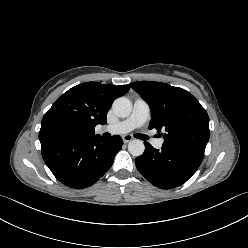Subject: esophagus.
Masks as SVG:
<instances>
[{"instance_id": "obj_1", "label": "esophagus", "mask_w": 248, "mask_h": 248, "mask_svg": "<svg viewBox=\"0 0 248 248\" xmlns=\"http://www.w3.org/2000/svg\"><path fill=\"white\" fill-rule=\"evenodd\" d=\"M124 143H128L133 140V137L129 134H126L122 137Z\"/></svg>"}]
</instances>
